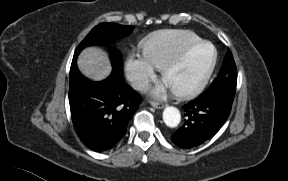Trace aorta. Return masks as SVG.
<instances>
[{"instance_id": "762f6f07", "label": "aorta", "mask_w": 288, "mask_h": 181, "mask_svg": "<svg viewBox=\"0 0 288 181\" xmlns=\"http://www.w3.org/2000/svg\"><path fill=\"white\" fill-rule=\"evenodd\" d=\"M163 120L168 127H177L181 121L180 111L173 106L166 107L163 111Z\"/></svg>"}]
</instances>
